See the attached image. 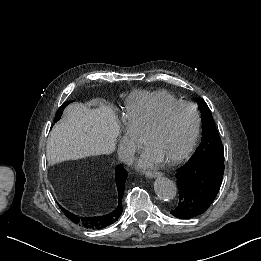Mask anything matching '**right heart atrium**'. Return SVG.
I'll return each mask as SVG.
<instances>
[{
    "label": "right heart atrium",
    "instance_id": "d8ad5b80",
    "mask_svg": "<svg viewBox=\"0 0 261 261\" xmlns=\"http://www.w3.org/2000/svg\"><path fill=\"white\" fill-rule=\"evenodd\" d=\"M120 115H121V113H120ZM121 117H122L124 125H125V137H124V140L121 145L125 144L126 146L130 147L131 146L130 138H131V134H132V126L127 118H125L123 116H121ZM125 159L128 160V157H125Z\"/></svg>",
    "mask_w": 261,
    "mask_h": 261
}]
</instances>
